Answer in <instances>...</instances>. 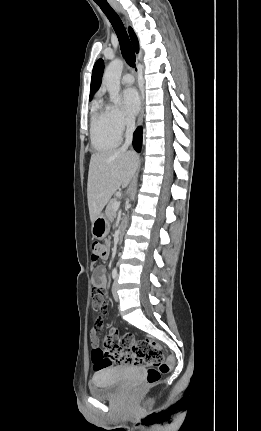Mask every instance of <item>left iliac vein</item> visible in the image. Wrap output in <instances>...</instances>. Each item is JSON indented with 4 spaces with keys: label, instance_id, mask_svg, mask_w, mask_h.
I'll use <instances>...</instances> for the list:
<instances>
[{
    "label": "left iliac vein",
    "instance_id": "1",
    "mask_svg": "<svg viewBox=\"0 0 261 431\" xmlns=\"http://www.w3.org/2000/svg\"><path fill=\"white\" fill-rule=\"evenodd\" d=\"M117 291H118V275H117V278L115 279V282H114L113 287H112V294H113V297L116 301L119 300V296H118Z\"/></svg>",
    "mask_w": 261,
    "mask_h": 431
}]
</instances>
